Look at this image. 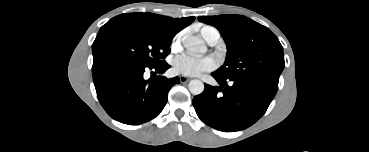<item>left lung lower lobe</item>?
I'll return each instance as SVG.
<instances>
[{"mask_svg": "<svg viewBox=\"0 0 369 152\" xmlns=\"http://www.w3.org/2000/svg\"><path fill=\"white\" fill-rule=\"evenodd\" d=\"M220 84H205L203 93L193 98L198 117L224 132H235L254 124L273 100L278 83L262 79L224 78L212 73Z\"/></svg>", "mask_w": 369, "mask_h": 152, "instance_id": "obj_1", "label": "left lung lower lobe"}]
</instances>
